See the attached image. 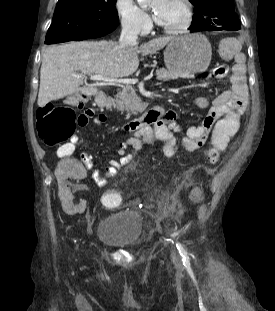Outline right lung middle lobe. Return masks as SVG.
Listing matches in <instances>:
<instances>
[{
  "label": "right lung middle lobe",
  "instance_id": "obj_1",
  "mask_svg": "<svg viewBox=\"0 0 275 311\" xmlns=\"http://www.w3.org/2000/svg\"><path fill=\"white\" fill-rule=\"evenodd\" d=\"M117 0H59L45 44L66 42L82 36L100 37L118 24Z\"/></svg>",
  "mask_w": 275,
  "mask_h": 311
}]
</instances>
